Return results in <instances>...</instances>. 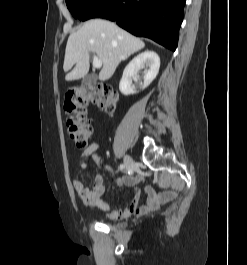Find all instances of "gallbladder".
<instances>
[{
    "mask_svg": "<svg viewBox=\"0 0 247 265\" xmlns=\"http://www.w3.org/2000/svg\"><path fill=\"white\" fill-rule=\"evenodd\" d=\"M95 81H96V76L94 74H89L83 78L82 84L87 85V84L94 83Z\"/></svg>",
    "mask_w": 247,
    "mask_h": 265,
    "instance_id": "1",
    "label": "gallbladder"
}]
</instances>
